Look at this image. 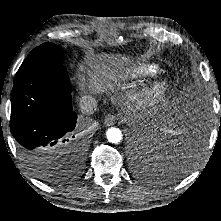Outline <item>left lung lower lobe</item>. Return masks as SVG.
Instances as JSON below:
<instances>
[{"mask_svg": "<svg viewBox=\"0 0 221 221\" xmlns=\"http://www.w3.org/2000/svg\"><path fill=\"white\" fill-rule=\"evenodd\" d=\"M192 134L193 135L190 138H186L183 143L171 148L170 153H168L170 154L171 160L170 163L165 166L159 164L156 159V153L164 146L159 134L153 133L134 136L131 140V149L134 154L138 155L139 158L146 159L152 168L157 169L155 174L149 175L148 172H144L145 176L153 182L169 183L185 174L196 158V154L191 148H194L193 146L197 140L196 137L198 133L192 131Z\"/></svg>", "mask_w": 221, "mask_h": 221, "instance_id": "1", "label": "left lung lower lobe"}]
</instances>
